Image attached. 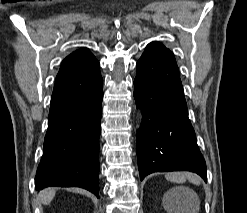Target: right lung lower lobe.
<instances>
[{"instance_id":"98d812e1","label":"right lung lower lobe","mask_w":247,"mask_h":213,"mask_svg":"<svg viewBox=\"0 0 247 213\" xmlns=\"http://www.w3.org/2000/svg\"><path fill=\"white\" fill-rule=\"evenodd\" d=\"M102 84L99 67L55 82L37 190L81 187L99 197Z\"/></svg>"}]
</instances>
